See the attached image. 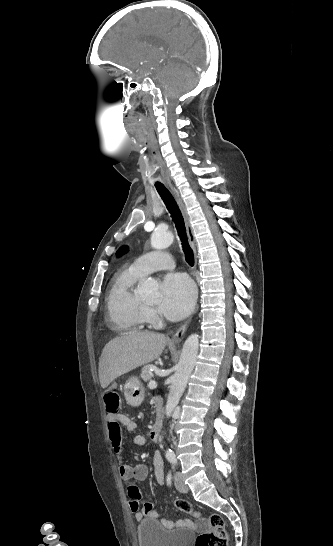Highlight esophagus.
<instances>
[{
	"mask_svg": "<svg viewBox=\"0 0 333 546\" xmlns=\"http://www.w3.org/2000/svg\"><path fill=\"white\" fill-rule=\"evenodd\" d=\"M169 188H170V191L172 192L175 200L177 201L178 206H179V208L181 210V213L183 215L185 225H186V229H187L188 238H189L190 244H191L193 252H194V260H195V268H196L197 261H198V256H197V250H196V242H195V238H194V234H193V229H192L191 224H190L189 216L187 214L186 208H185V206H184V204H183V202L181 200V197L179 196V193L176 190V188L173 187L172 185H169ZM188 324H189V321H187L186 323H184L182 326H180L178 328V330L175 332V334L172 337L173 342L177 343V342L181 341V339L183 338V336H184V334L186 332Z\"/></svg>",
	"mask_w": 333,
	"mask_h": 546,
	"instance_id": "34e87169",
	"label": "esophagus"
}]
</instances>
